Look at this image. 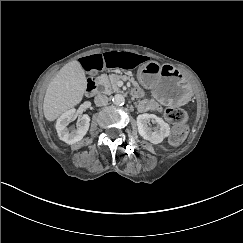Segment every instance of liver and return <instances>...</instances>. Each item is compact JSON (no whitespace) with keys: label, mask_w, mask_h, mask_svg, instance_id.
Instances as JSON below:
<instances>
[{"label":"liver","mask_w":243,"mask_h":243,"mask_svg":"<svg viewBox=\"0 0 243 243\" xmlns=\"http://www.w3.org/2000/svg\"><path fill=\"white\" fill-rule=\"evenodd\" d=\"M87 87L84 69L78 61L64 65L49 83L43 103L44 116L54 121L81 102Z\"/></svg>","instance_id":"1"}]
</instances>
